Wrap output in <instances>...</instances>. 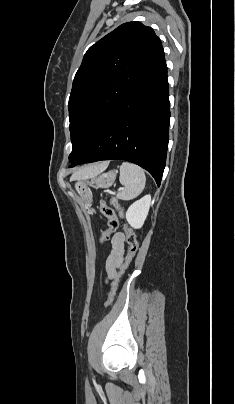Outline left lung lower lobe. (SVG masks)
Listing matches in <instances>:
<instances>
[{
	"mask_svg": "<svg viewBox=\"0 0 235 404\" xmlns=\"http://www.w3.org/2000/svg\"><path fill=\"white\" fill-rule=\"evenodd\" d=\"M169 89L165 58L116 108L89 148L70 167L122 159L146 169L160 185L169 140Z\"/></svg>",
	"mask_w": 235,
	"mask_h": 404,
	"instance_id": "0a47b994",
	"label": "left lung lower lobe"
}]
</instances>
